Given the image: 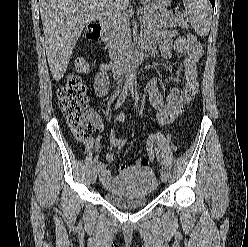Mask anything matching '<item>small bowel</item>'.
<instances>
[{"instance_id":"obj_1","label":"small bowel","mask_w":248,"mask_h":247,"mask_svg":"<svg viewBox=\"0 0 248 247\" xmlns=\"http://www.w3.org/2000/svg\"><path fill=\"white\" fill-rule=\"evenodd\" d=\"M173 31L163 29L153 33L141 41V46L145 51H153L154 43L158 42L160 55L164 59L172 57V50L184 57L180 69H170L168 73L178 72L179 87L172 88L166 99L164 105L163 94L160 90V76L153 75L147 84V92L153 107L157 110L165 109L168 114V122L171 123L183 111L185 105L191 102L199 88L198 84V62L200 61L203 50L197 41H189L185 37H177L172 39ZM111 66L102 64L99 71L94 78V90L98 97H105L108 93L109 78L108 72ZM94 128L97 132H102L104 125L99 115L93 113L91 115ZM124 119L123 115H119L117 120ZM169 138V136H168ZM109 145L115 148H123L126 145V140L120 137L117 133L112 132L109 135ZM108 163H112L114 156L112 153L106 155ZM148 158H140L135 162L139 167H147L149 165ZM129 168L126 164L119 166L120 174ZM97 171L101 183L109 189H116L118 183V176L113 177L103 162L97 164Z\"/></svg>"}]
</instances>
